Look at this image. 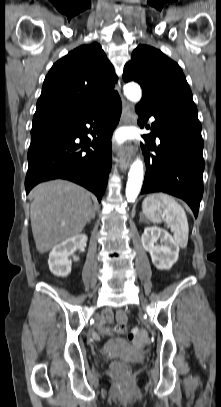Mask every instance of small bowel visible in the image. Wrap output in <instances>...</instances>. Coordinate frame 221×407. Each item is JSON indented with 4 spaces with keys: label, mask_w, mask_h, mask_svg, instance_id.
I'll return each instance as SVG.
<instances>
[{
    "label": "small bowel",
    "mask_w": 221,
    "mask_h": 407,
    "mask_svg": "<svg viewBox=\"0 0 221 407\" xmlns=\"http://www.w3.org/2000/svg\"><path fill=\"white\" fill-rule=\"evenodd\" d=\"M101 322L102 323H112L113 322V313L111 310H105L103 312Z\"/></svg>",
    "instance_id": "1"
}]
</instances>
